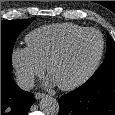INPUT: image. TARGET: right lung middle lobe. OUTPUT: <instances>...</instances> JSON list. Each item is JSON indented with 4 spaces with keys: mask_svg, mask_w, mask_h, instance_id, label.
<instances>
[{
    "mask_svg": "<svg viewBox=\"0 0 115 115\" xmlns=\"http://www.w3.org/2000/svg\"><path fill=\"white\" fill-rule=\"evenodd\" d=\"M33 18L1 21V73L9 74L12 71V51L15 39L25 29Z\"/></svg>",
    "mask_w": 115,
    "mask_h": 115,
    "instance_id": "right-lung-middle-lobe-1",
    "label": "right lung middle lobe"
}]
</instances>
